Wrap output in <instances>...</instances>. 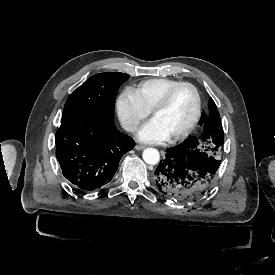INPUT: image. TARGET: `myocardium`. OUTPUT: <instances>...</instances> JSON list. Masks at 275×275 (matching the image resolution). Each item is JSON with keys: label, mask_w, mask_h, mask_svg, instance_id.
Segmentation results:
<instances>
[{"label": "myocardium", "mask_w": 275, "mask_h": 275, "mask_svg": "<svg viewBox=\"0 0 275 275\" xmlns=\"http://www.w3.org/2000/svg\"><path fill=\"white\" fill-rule=\"evenodd\" d=\"M181 86H189L194 91V94L196 97V109H195L194 116H193L192 120L189 122V124L181 131L168 136L169 140H177V139H180V138H183V137L189 135L190 132L194 129V127L198 123L200 116H201V112H202V99H201V94H200L197 86L189 81H180V82H177V83L171 85L164 92L162 97L159 99V101L156 103V105L152 109V119L159 111L163 110L168 105L170 98H171L172 94L174 93V91Z\"/></svg>", "instance_id": "f54148a6"}]
</instances>
